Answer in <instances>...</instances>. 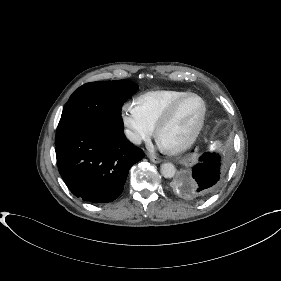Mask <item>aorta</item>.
<instances>
[{
	"instance_id": "1",
	"label": "aorta",
	"mask_w": 281,
	"mask_h": 281,
	"mask_svg": "<svg viewBox=\"0 0 281 281\" xmlns=\"http://www.w3.org/2000/svg\"><path fill=\"white\" fill-rule=\"evenodd\" d=\"M176 172V168L172 163H164L161 165V174L165 178H172L174 177Z\"/></svg>"
}]
</instances>
